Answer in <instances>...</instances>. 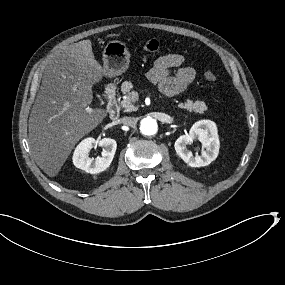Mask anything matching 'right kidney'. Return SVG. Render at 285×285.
I'll return each mask as SVG.
<instances>
[{
  "instance_id": "obj_1",
  "label": "right kidney",
  "mask_w": 285,
  "mask_h": 285,
  "mask_svg": "<svg viewBox=\"0 0 285 285\" xmlns=\"http://www.w3.org/2000/svg\"><path fill=\"white\" fill-rule=\"evenodd\" d=\"M95 143L96 140L94 138L82 140L75 148L72 158L75 167L91 174L106 170L111 164L117 148V143L114 139L103 138L98 142L99 146L104 148L101 153L102 156L93 159L89 157V152Z\"/></svg>"
}]
</instances>
